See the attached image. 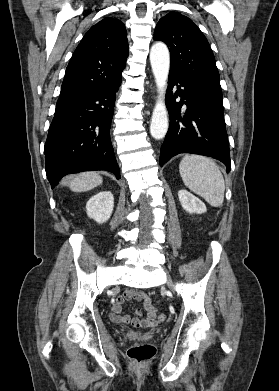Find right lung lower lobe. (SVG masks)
Segmentation results:
<instances>
[{"label":"right lung lower lobe","instance_id":"obj_1","mask_svg":"<svg viewBox=\"0 0 279 391\" xmlns=\"http://www.w3.org/2000/svg\"><path fill=\"white\" fill-rule=\"evenodd\" d=\"M121 80L101 89L58 99L45 143L46 175L54 188L67 174L120 170L110 140L115 96Z\"/></svg>","mask_w":279,"mask_h":391}]
</instances>
